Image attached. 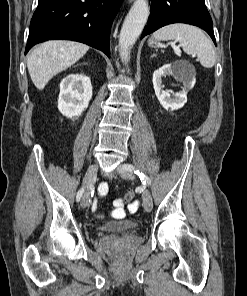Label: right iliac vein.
Wrapping results in <instances>:
<instances>
[{
  "instance_id": "right-iliac-vein-1",
  "label": "right iliac vein",
  "mask_w": 247,
  "mask_h": 296,
  "mask_svg": "<svg viewBox=\"0 0 247 296\" xmlns=\"http://www.w3.org/2000/svg\"><path fill=\"white\" fill-rule=\"evenodd\" d=\"M97 170H98L97 165H93L87 170L85 174V177L83 180V186L85 187V192L81 199V206L83 208L87 207L89 204L90 189L96 179Z\"/></svg>"
}]
</instances>
